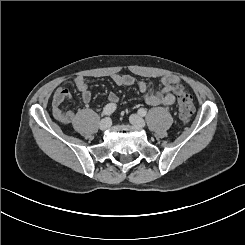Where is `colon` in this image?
<instances>
[{
	"mask_svg": "<svg viewBox=\"0 0 245 245\" xmlns=\"http://www.w3.org/2000/svg\"><path fill=\"white\" fill-rule=\"evenodd\" d=\"M173 91L177 95L179 117L184 123H187L195 111L192 97L182 83L175 85Z\"/></svg>",
	"mask_w": 245,
	"mask_h": 245,
	"instance_id": "colon-1",
	"label": "colon"
}]
</instances>
